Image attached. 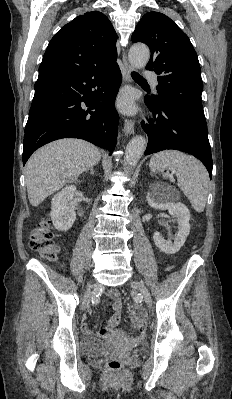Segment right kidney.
I'll return each mask as SVG.
<instances>
[{"instance_id":"obj_1","label":"right kidney","mask_w":232,"mask_h":399,"mask_svg":"<svg viewBox=\"0 0 232 399\" xmlns=\"http://www.w3.org/2000/svg\"><path fill=\"white\" fill-rule=\"evenodd\" d=\"M76 192V186H66L61 192L55 194L51 201V219L54 227L59 231H67L72 227L76 213L72 207L71 200Z\"/></svg>"}]
</instances>
